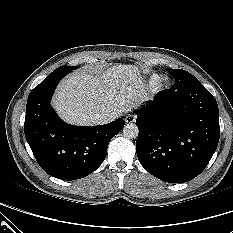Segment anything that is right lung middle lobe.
Segmentation results:
<instances>
[{
	"mask_svg": "<svg viewBox=\"0 0 233 233\" xmlns=\"http://www.w3.org/2000/svg\"><path fill=\"white\" fill-rule=\"evenodd\" d=\"M76 68H77L76 66H60L57 69H55L51 74L58 73V72L63 71V70L71 72L72 70H74Z\"/></svg>",
	"mask_w": 233,
	"mask_h": 233,
	"instance_id": "dd1d6c3e",
	"label": "right lung middle lobe"
}]
</instances>
